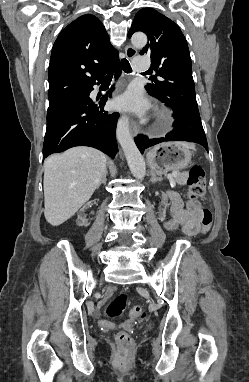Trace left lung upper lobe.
<instances>
[{
    "label": "left lung upper lobe",
    "instance_id": "5c2ea615",
    "mask_svg": "<svg viewBox=\"0 0 249 382\" xmlns=\"http://www.w3.org/2000/svg\"><path fill=\"white\" fill-rule=\"evenodd\" d=\"M145 32L149 42L140 51L151 57L156 76L145 88L173 111H198L186 39L176 23L152 8L136 14L128 36Z\"/></svg>",
    "mask_w": 249,
    "mask_h": 382
}]
</instances>
